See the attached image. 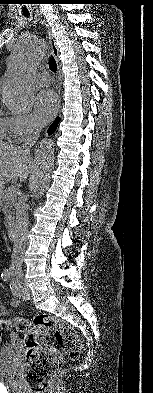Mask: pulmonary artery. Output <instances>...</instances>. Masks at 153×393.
<instances>
[{"label": "pulmonary artery", "mask_w": 153, "mask_h": 393, "mask_svg": "<svg viewBox=\"0 0 153 393\" xmlns=\"http://www.w3.org/2000/svg\"><path fill=\"white\" fill-rule=\"evenodd\" d=\"M36 82L41 86H47L50 83V76L48 73H38L36 75Z\"/></svg>", "instance_id": "1"}]
</instances>
